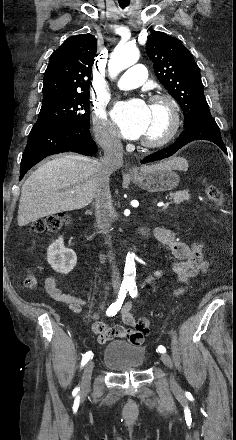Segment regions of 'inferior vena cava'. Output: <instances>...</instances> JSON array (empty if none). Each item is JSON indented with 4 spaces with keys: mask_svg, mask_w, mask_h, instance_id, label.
Listing matches in <instances>:
<instances>
[{
    "mask_svg": "<svg viewBox=\"0 0 236 440\" xmlns=\"http://www.w3.org/2000/svg\"><path fill=\"white\" fill-rule=\"evenodd\" d=\"M104 149L102 160V178L97 186L95 194L96 220L101 232L106 235V243L111 247V236L114 208L109 188V177L122 166L123 163V145L120 139L108 132H105L101 138ZM112 286L118 289L120 286V275L115 263L112 265Z\"/></svg>",
    "mask_w": 236,
    "mask_h": 440,
    "instance_id": "inferior-vena-cava-1",
    "label": "inferior vena cava"
}]
</instances>
